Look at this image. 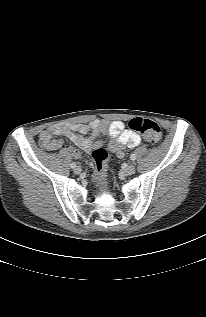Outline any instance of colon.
<instances>
[{"mask_svg": "<svg viewBox=\"0 0 206 317\" xmlns=\"http://www.w3.org/2000/svg\"><path fill=\"white\" fill-rule=\"evenodd\" d=\"M129 127L143 135L150 143H158L162 137L160 126L153 120L136 117L130 120ZM94 160V178L100 184H104L108 162V153L103 148H97L93 151Z\"/></svg>", "mask_w": 206, "mask_h": 317, "instance_id": "5ec220e1", "label": "colon"}]
</instances>
